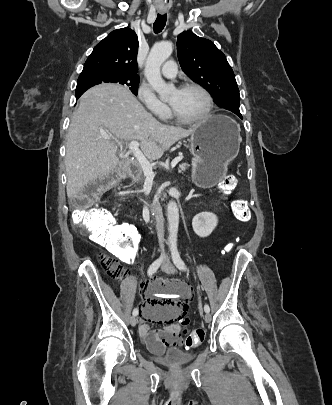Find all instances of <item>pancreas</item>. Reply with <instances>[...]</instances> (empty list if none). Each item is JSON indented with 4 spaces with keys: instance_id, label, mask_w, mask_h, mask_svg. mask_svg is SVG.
<instances>
[{
    "instance_id": "1",
    "label": "pancreas",
    "mask_w": 332,
    "mask_h": 405,
    "mask_svg": "<svg viewBox=\"0 0 332 405\" xmlns=\"http://www.w3.org/2000/svg\"><path fill=\"white\" fill-rule=\"evenodd\" d=\"M189 167V164L183 163L179 166L180 170H184L185 168Z\"/></svg>"
}]
</instances>
